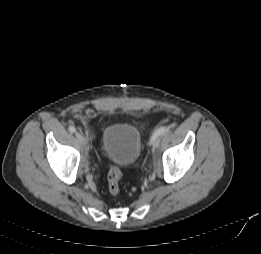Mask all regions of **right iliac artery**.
I'll list each match as a JSON object with an SVG mask.
<instances>
[{"label":"right iliac artery","mask_w":261,"mask_h":254,"mask_svg":"<svg viewBox=\"0 0 261 254\" xmlns=\"http://www.w3.org/2000/svg\"><path fill=\"white\" fill-rule=\"evenodd\" d=\"M69 131L71 133H74L76 131L75 127L74 126H69Z\"/></svg>","instance_id":"1"}]
</instances>
